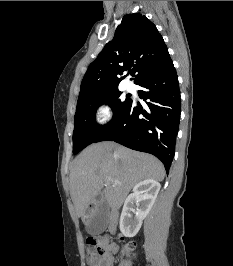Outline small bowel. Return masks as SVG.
I'll list each match as a JSON object with an SVG mask.
<instances>
[{
  "label": "small bowel",
  "instance_id": "1",
  "mask_svg": "<svg viewBox=\"0 0 233 266\" xmlns=\"http://www.w3.org/2000/svg\"><path fill=\"white\" fill-rule=\"evenodd\" d=\"M116 250L117 246L113 243L108 245L107 251L104 254L91 250L87 259L89 266H112L113 255Z\"/></svg>",
  "mask_w": 233,
  "mask_h": 266
}]
</instances>
